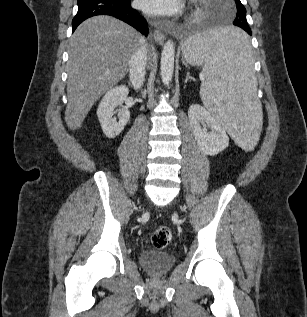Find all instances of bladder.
I'll return each mask as SVG.
<instances>
[{
  "mask_svg": "<svg viewBox=\"0 0 307 317\" xmlns=\"http://www.w3.org/2000/svg\"><path fill=\"white\" fill-rule=\"evenodd\" d=\"M174 263L175 256L170 252L145 249L139 253L140 266L153 275L164 274Z\"/></svg>",
  "mask_w": 307,
  "mask_h": 317,
  "instance_id": "31cf9c89",
  "label": "bladder"
}]
</instances>
